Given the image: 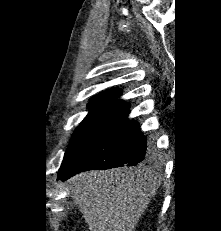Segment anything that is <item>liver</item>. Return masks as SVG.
I'll list each match as a JSON object with an SVG mask.
<instances>
[{"instance_id": "6515ba94", "label": "liver", "mask_w": 221, "mask_h": 231, "mask_svg": "<svg viewBox=\"0 0 221 231\" xmlns=\"http://www.w3.org/2000/svg\"><path fill=\"white\" fill-rule=\"evenodd\" d=\"M69 183L91 231H133L159 186L149 170L128 167L83 172Z\"/></svg>"}]
</instances>
